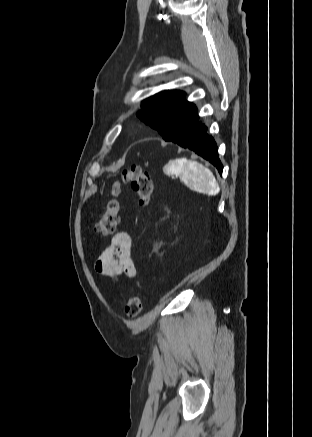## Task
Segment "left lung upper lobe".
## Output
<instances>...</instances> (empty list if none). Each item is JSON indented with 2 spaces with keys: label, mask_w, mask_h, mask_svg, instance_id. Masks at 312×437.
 Listing matches in <instances>:
<instances>
[{
  "label": "left lung upper lobe",
  "mask_w": 312,
  "mask_h": 437,
  "mask_svg": "<svg viewBox=\"0 0 312 437\" xmlns=\"http://www.w3.org/2000/svg\"><path fill=\"white\" fill-rule=\"evenodd\" d=\"M182 91H162L143 102L137 116L157 130L165 141L179 139L198 119L197 108Z\"/></svg>",
  "instance_id": "1"
}]
</instances>
